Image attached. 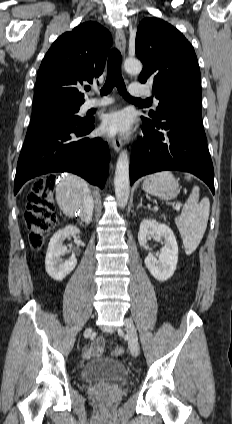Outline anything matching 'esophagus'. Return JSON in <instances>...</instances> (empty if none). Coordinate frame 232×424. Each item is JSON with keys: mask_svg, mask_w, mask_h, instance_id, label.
Here are the masks:
<instances>
[{"mask_svg": "<svg viewBox=\"0 0 232 424\" xmlns=\"http://www.w3.org/2000/svg\"><path fill=\"white\" fill-rule=\"evenodd\" d=\"M115 42L118 50L124 55L126 50V39L122 29H117L115 33ZM113 149L119 152L122 147V141L120 138H114L111 142Z\"/></svg>", "mask_w": 232, "mask_h": 424, "instance_id": "34e87169", "label": "esophagus"}]
</instances>
